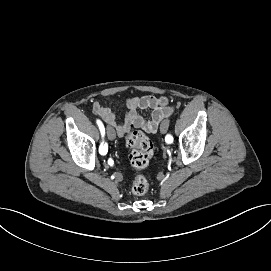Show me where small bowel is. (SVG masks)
Returning <instances> with one entry per match:
<instances>
[{"label": "small bowel", "instance_id": "c3829d8e", "mask_svg": "<svg viewBox=\"0 0 271 271\" xmlns=\"http://www.w3.org/2000/svg\"><path fill=\"white\" fill-rule=\"evenodd\" d=\"M139 110H151L146 118L139 114ZM92 112L119 136L127 133L131 128H140L148 133H156L159 123L173 113V107L166 97L153 95L136 96L126 102V112L122 121L118 122L115 114L107 107L96 102Z\"/></svg>", "mask_w": 271, "mask_h": 271}]
</instances>
